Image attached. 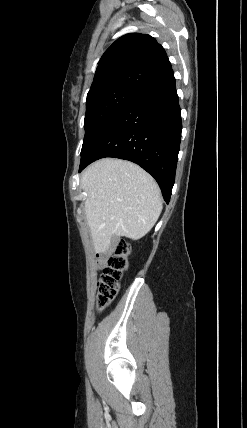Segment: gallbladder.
<instances>
[{
  "instance_id": "gallbladder-1",
  "label": "gallbladder",
  "mask_w": 247,
  "mask_h": 428,
  "mask_svg": "<svg viewBox=\"0 0 247 428\" xmlns=\"http://www.w3.org/2000/svg\"><path fill=\"white\" fill-rule=\"evenodd\" d=\"M113 244H114V241L111 242V245H113Z\"/></svg>"
}]
</instances>
